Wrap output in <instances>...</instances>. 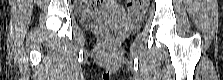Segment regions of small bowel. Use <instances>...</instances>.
<instances>
[{
    "mask_svg": "<svg viewBox=\"0 0 223 80\" xmlns=\"http://www.w3.org/2000/svg\"><path fill=\"white\" fill-rule=\"evenodd\" d=\"M117 4L114 1H105V2H94L91 5V9L98 11L101 9H108V8H116Z\"/></svg>",
    "mask_w": 223,
    "mask_h": 80,
    "instance_id": "1",
    "label": "small bowel"
}]
</instances>
